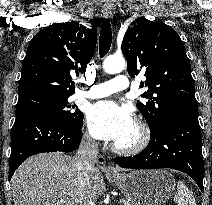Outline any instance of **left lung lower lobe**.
I'll return each mask as SVG.
<instances>
[{
	"label": "left lung lower lobe",
	"mask_w": 212,
	"mask_h": 205,
	"mask_svg": "<svg viewBox=\"0 0 212 205\" xmlns=\"http://www.w3.org/2000/svg\"><path fill=\"white\" fill-rule=\"evenodd\" d=\"M148 146L138 155L118 157L123 168H172L187 173L203 192V156L198 107L181 108L172 113L155 131Z\"/></svg>",
	"instance_id": "0a47b994"
}]
</instances>
